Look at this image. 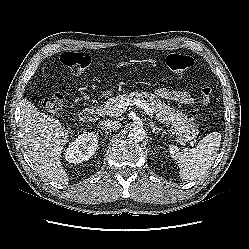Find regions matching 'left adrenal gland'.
<instances>
[{
	"instance_id": "1",
	"label": "left adrenal gland",
	"mask_w": 249,
	"mask_h": 249,
	"mask_svg": "<svg viewBox=\"0 0 249 249\" xmlns=\"http://www.w3.org/2000/svg\"><path fill=\"white\" fill-rule=\"evenodd\" d=\"M149 125H150V127H151L153 133H155V131L160 132V131L163 130L162 127L156 126L152 121L149 122Z\"/></svg>"
}]
</instances>
